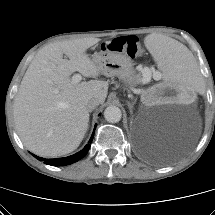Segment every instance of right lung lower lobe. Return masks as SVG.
Returning <instances> with one entry per match:
<instances>
[{"label":"right lung lower lobe","instance_id":"1","mask_svg":"<svg viewBox=\"0 0 215 215\" xmlns=\"http://www.w3.org/2000/svg\"><path fill=\"white\" fill-rule=\"evenodd\" d=\"M93 137H94V132L88 142V144L78 153L74 154V155H71V156H68V157H65V158H56V159H44V158H41V157H38L36 155H33L34 157H36L38 160L42 161L44 160L45 164H48V165H52V166H65V165H69V164H72L76 161H78L79 159H82L88 152L89 148H90V143L92 142L93 140Z\"/></svg>","mask_w":215,"mask_h":215}]
</instances>
